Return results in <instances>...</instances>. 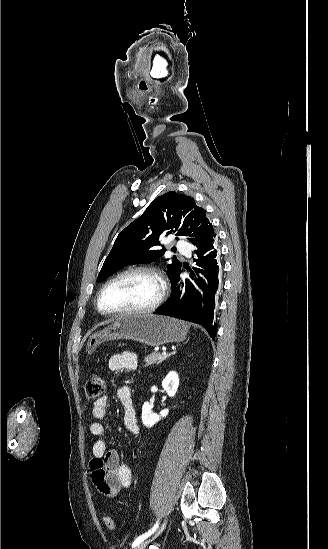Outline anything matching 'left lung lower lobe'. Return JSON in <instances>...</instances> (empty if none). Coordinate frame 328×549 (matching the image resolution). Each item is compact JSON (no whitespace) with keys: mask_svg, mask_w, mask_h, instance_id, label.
<instances>
[{"mask_svg":"<svg viewBox=\"0 0 328 549\" xmlns=\"http://www.w3.org/2000/svg\"><path fill=\"white\" fill-rule=\"evenodd\" d=\"M196 267L189 268L191 281L185 280V292L181 297L177 282L180 274L172 282L169 300L154 314L179 318L201 324L214 339L217 327L214 313L218 306V297L222 286V271L219 262L220 251L215 236L194 251Z\"/></svg>","mask_w":328,"mask_h":549,"instance_id":"0a47b994","label":"left lung lower lobe"}]
</instances>
